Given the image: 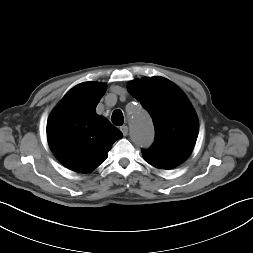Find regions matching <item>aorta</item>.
Masks as SVG:
<instances>
[{
    "instance_id": "aorta-1",
    "label": "aorta",
    "mask_w": 253,
    "mask_h": 253,
    "mask_svg": "<svg viewBox=\"0 0 253 253\" xmlns=\"http://www.w3.org/2000/svg\"><path fill=\"white\" fill-rule=\"evenodd\" d=\"M130 137L141 148H147L154 139V128L148 113L139 106H134L129 116Z\"/></svg>"
}]
</instances>
